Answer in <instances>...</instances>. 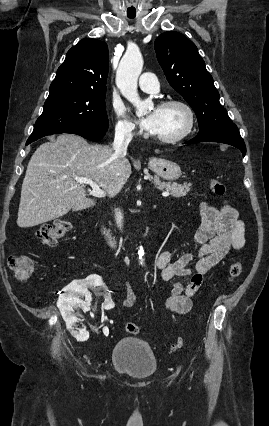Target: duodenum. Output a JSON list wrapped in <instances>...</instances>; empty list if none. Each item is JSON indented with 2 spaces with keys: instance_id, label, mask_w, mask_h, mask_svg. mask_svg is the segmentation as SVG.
<instances>
[{
  "instance_id": "obj_1",
  "label": "duodenum",
  "mask_w": 269,
  "mask_h": 426,
  "mask_svg": "<svg viewBox=\"0 0 269 426\" xmlns=\"http://www.w3.org/2000/svg\"><path fill=\"white\" fill-rule=\"evenodd\" d=\"M95 227L102 236L103 240L107 243L110 248H115L117 245L116 236L107 228L102 226L100 221L97 219L95 222Z\"/></svg>"
}]
</instances>
